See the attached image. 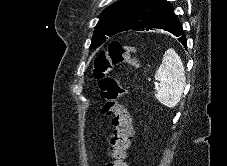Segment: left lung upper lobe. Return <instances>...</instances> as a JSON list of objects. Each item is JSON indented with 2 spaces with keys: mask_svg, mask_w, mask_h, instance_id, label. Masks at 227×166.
I'll return each instance as SVG.
<instances>
[{
  "mask_svg": "<svg viewBox=\"0 0 227 166\" xmlns=\"http://www.w3.org/2000/svg\"><path fill=\"white\" fill-rule=\"evenodd\" d=\"M147 0H120L107 7L100 15L90 48L102 45L109 37L131 28Z\"/></svg>",
  "mask_w": 227,
  "mask_h": 166,
  "instance_id": "5c2ea615",
  "label": "left lung upper lobe"
}]
</instances>
